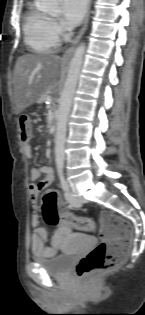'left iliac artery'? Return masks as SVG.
<instances>
[{
  "label": "left iliac artery",
  "mask_w": 145,
  "mask_h": 315,
  "mask_svg": "<svg viewBox=\"0 0 145 315\" xmlns=\"http://www.w3.org/2000/svg\"><path fill=\"white\" fill-rule=\"evenodd\" d=\"M59 178H60V184H61V188L64 190V191H68L69 190V186H68V183L66 181V178L64 176L63 173H60L59 174Z\"/></svg>",
  "instance_id": "left-iliac-artery-1"
}]
</instances>
